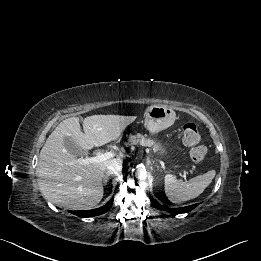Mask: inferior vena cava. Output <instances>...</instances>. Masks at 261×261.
Listing matches in <instances>:
<instances>
[{
	"instance_id": "1",
	"label": "inferior vena cava",
	"mask_w": 261,
	"mask_h": 261,
	"mask_svg": "<svg viewBox=\"0 0 261 261\" xmlns=\"http://www.w3.org/2000/svg\"><path fill=\"white\" fill-rule=\"evenodd\" d=\"M122 160L121 159H115L113 161H111L107 167H106V171L108 174H117L118 172H120L122 170Z\"/></svg>"
}]
</instances>
